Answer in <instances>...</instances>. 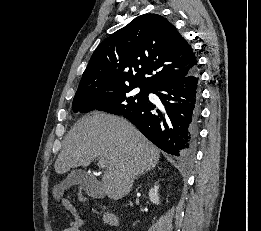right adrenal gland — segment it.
I'll use <instances>...</instances> for the list:
<instances>
[{
	"label": "right adrenal gland",
	"mask_w": 261,
	"mask_h": 231,
	"mask_svg": "<svg viewBox=\"0 0 261 231\" xmlns=\"http://www.w3.org/2000/svg\"><path fill=\"white\" fill-rule=\"evenodd\" d=\"M141 174H144V172H143V173H141ZM141 174H139V175H141ZM139 175H137V177H138ZM137 177H136V178H137Z\"/></svg>",
	"instance_id": "right-adrenal-gland-1"
}]
</instances>
